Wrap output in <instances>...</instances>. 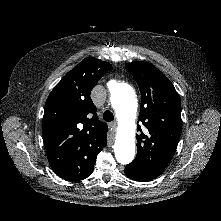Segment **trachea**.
Here are the masks:
<instances>
[{"label": "trachea", "instance_id": "1", "mask_svg": "<svg viewBox=\"0 0 221 221\" xmlns=\"http://www.w3.org/2000/svg\"><path fill=\"white\" fill-rule=\"evenodd\" d=\"M103 119L107 122H111L114 119V115L111 111L106 110L103 114Z\"/></svg>", "mask_w": 221, "mask_h": 221}]
</instances>
